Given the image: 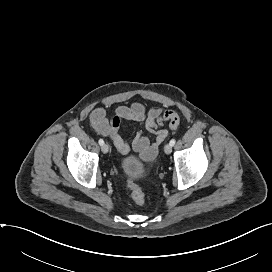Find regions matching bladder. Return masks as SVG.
<instances>
[{
  "instance_id": "bladder-1",
  "label": "bladder",
  "mask_w": 272,
  "mask_h": 272,
  "mask_svg": "<svg viewBox=\"0 0 272 272\" xmlns=\"http://www.w3.org/2000/svg\"><path fill=\"white\" fill-rule=\"evenodd\" d=\"M121 168L127 176L132 178H138L144 172L142 162L134 156L124 158L121 162Z\"/></svg>"
}]
</instances>
